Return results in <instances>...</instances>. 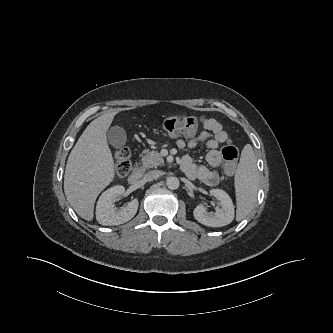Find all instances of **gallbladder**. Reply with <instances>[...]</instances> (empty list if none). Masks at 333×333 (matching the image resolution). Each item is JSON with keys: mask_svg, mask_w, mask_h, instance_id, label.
Listing matches in <instances>:
<instances>
[{"mask_svg": "<svg viewBox=\"0 0 333 333\" xmlns=\"http://www.w3.org/2000/svg\"><path fill=\"white\" fill-rule=\"evenodd\" d=\"M107 139L114 148H120L126 143V132L122 127L115 125L108 130Z\"/></svg>", "mask_w": 333, "mask_h": 333, "instance_id": "gallbladder-1", "label": "gallbladder"}]
</instances>
